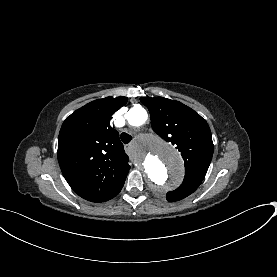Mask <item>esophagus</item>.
<instances>
[{"mask_svg":"<svg viewBox=\"0 0 277 277\" xmlns=\"http://www.w3.org/2000/svg\"><path fill=\"white\" fill-rule=\"evenodd\" d=\"M136 164H137L140 168H142L141 163L136 162Z\"/></svg>","mask_w":277,"mask_h":277,"instance_id":"1","label":"esophagus"}]
</instances>
